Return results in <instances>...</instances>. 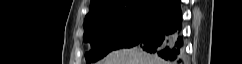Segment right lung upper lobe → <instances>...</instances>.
Returning a JSON list of instances; mask_svg holds the SVG:
<instances>
[{
    "instance_id": "1",
    "label": "right lung upper lobe",
    "mask_w": 242,
    "mask_h": 64,
    "mask_svg": "<svg viewBox=\"0 0 242 64\" xmlns=\"http://www.w3.org/2000/svg\"><path fill=\"white\" fill-rule=\"evenodd\" d=\"M178 0H91L84 24L104 15L130 10H152L164 14Z\"/></svg>"
}]
</instances>
